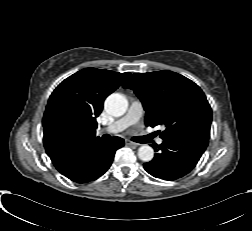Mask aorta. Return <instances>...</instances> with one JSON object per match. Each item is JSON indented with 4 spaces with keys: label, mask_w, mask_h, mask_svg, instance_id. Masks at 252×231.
<instances>
[{
    "label": "aorta",
    "mask_w": 252,
    "mask_h": 231,
    "mask_svg": "<svg viewBox=\"0 0 252 231\" xmlns=\"http://www.w3.org/2000/svg\"><path fill=\"white\" fill-rule=\"evenodd\" d=\"M128 102L124 95L113 93L109 95L104 103L105 111L114 117L122 116L127 110ZM138 157L143 162H149L154 157V150L149 145H142L138 149Z\"/></svg>",
    "instance_id": "obj_1"
}]
</instances>
